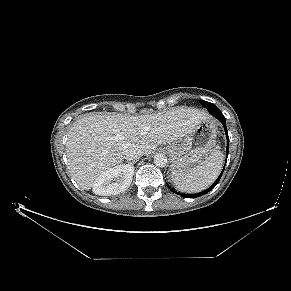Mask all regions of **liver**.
I'll list each match as a JSON object with an SVG mask.
<instances>
[{
    "label": "liver",
    "mask_w": 291,
    "mask_h": 291,
    "mask_svg": "<svg viewBox=\"0 0 291 291\" xmlns=\"http://www.w3.org/2000/svg\"><path fill=\"white\" fill-rule=\"evenodd\" d=\"M208 119L209 113L184 106L136 117L87 114L77 119L68 132L70 173L81 189L89 190L100 174L123 162L128 147L137 146L143 155H149L159 145L181 139Z\"/></svg>",
    "instance_id": "6515ba94"
}]
</instances>
